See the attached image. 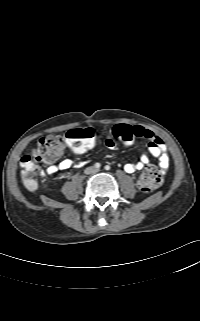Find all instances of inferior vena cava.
<instances>
[{
    "mask_svg": "<svg viewBox=\"0 0 200 321\" xmlns=\"http://www.w3.org/2000/svg\"><path fill=\"white\" fill-rule=\"evenodd\" d=\"M98 171V169L94 168V167H88L86 168V170L84 171L86 174H92V173H96Z\"/></svg>",
    "mask_w": 200,
    "mask_h": 321,
    "instance_id": "602c4592",
    "label": "inferior vena cava"
}]
</instances>
